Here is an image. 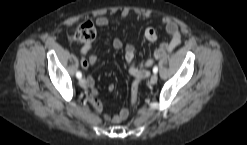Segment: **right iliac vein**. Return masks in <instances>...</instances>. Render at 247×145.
<instances>
[{
    "label": "right iliac vein",
    "instance_id": "right-iliac-vein-1",
    "mask_svg": "<svg viewBox=\"0 0 247 145\" xmlns=\"http://www.w3.org/2000/svg\"><path fill=\"white\" fill-rule=\"evenodd\" d=\"M79 85L83 88L87 86V82H86L85 78H80Z\"/></svg>",
    "mask_w": 247,
    "mask_h": 145
}]
</instances>
